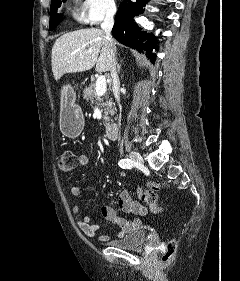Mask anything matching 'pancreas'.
<instances>
[{"label":"pancreas","instance_id":"1","mask_svg":"<svg viewBox=\"0 0 240 281\" xmlns=\"http://www.w3.org/2000/svg\"><path fill=\"white\" fill-rule=\"evenodd\" d=\"M83 96L90 102L91 106L94 104L100 105L101 112L103 113L104 126H108L111 121L109 114L112 115L114 113V103L109 97V93H105L103 96H98L96 94V85L93 83L84 89Z\"/></svg>","mask_w":240,"mask_h":281}]
</instances>
